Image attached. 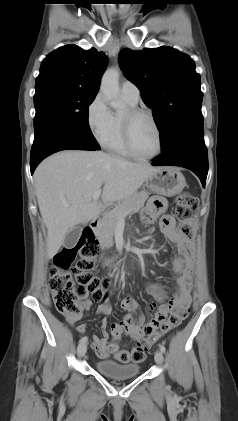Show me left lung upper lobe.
I'll return each mask as SVG.
<instances>
[{
  "instance_id": "obj_1",
  "label": "left lung upper lobe",
  "mask_w": 238,
  "mask_h": 421,
  "mask_svg": "<svg viewBox=\"0 0 238 421\" xmlns=\"http://www.w3.org/2000/svg\"><path fill=\"white\" fill-rule=\"evenodd\" d=\"M119 62L153 111L162 149L186 128L203 123L200 76L189 56L165 46L123 49Z\"/></svg>"
}]
</instances>
